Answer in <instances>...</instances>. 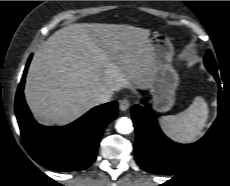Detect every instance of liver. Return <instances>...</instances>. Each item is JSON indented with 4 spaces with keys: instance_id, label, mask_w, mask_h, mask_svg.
Here are the masks:
<instances>
[{
    "instance_id": "1",
    "label": "liver",
    "mask_w": 230,
    "mask_h": 186,
    "mask_svg": "<svg viewBox=\"0 0 230 186\" xmlns=\"http://www.w3.org/2000/svg\"><path fill=\"white\" fill-rule=\"evenodd\" d=\"M150 31L124 24L75 23L51 35L28 69L25 99L44 125H67L123 88L145 89L154 68Z\"/></svg>"
}]
</instances>
